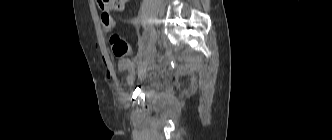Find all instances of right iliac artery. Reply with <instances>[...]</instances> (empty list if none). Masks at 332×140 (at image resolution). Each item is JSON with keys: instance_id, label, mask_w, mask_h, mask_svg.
<instances>
[{"instance_id": "82829eb1", "label": "right iliac artery", "mask_w": 332, "mask_h": 140, "mask_svg": "<svg viewBox=\"0 0 332 140\" xmlns=\"http://www.w3.org/2000/svg\"><path fill=\"white\" fill-rule=\"evenodd\" d=\"M150 33L149 32H145L143 34L142 40H141V46H140V51L138 54V57H141L143 55V53L145 52L146 46H147V42H148V38H149Z\"/></svg>"}]
</instances>
